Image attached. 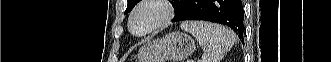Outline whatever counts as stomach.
Masks as SVG:
<instances>
[{
    "mask_svg": "<svg viewBox=\"0 0 331 62\" xmlns=\"http://www.w3.org/2000/svg\"><path fill=\"white\" fill-rule=\"evenodd\" d=\"M195 51V41L187 34L172 32L159 40L147 42L139 49V62H182Z\"/></svg>",
    "mask_w": 331,
    "mask_h": 62,
    "instance_id": "obj_1",
    "label": "stomach"
}]
</instances>
